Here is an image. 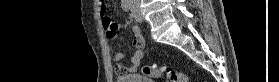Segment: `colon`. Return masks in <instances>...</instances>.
<instances>
[{
    "label": "colon",
    "instance_id": "colon-1",
    "mask_svg": "<svg viewBox=\"0 0 279 82\" xmlns=\"http://www.w3.org/2000/svg\"><path fill=\"white\" fill-rule=\"evenodd\" d=\"M101 17L103 24L109 25L112 23L104 8L101 9ZM141 73L153 79H166L169 82H188V78L185 74L181 72L165 70L164 68H157L156 65L143 66Z\"/></svg>",
    "mask_w": 279,
    "mask_h": 82
}]
</instances>
